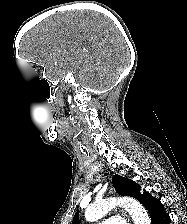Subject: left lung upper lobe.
<instances>
[{"label": "left lung upper lobe", "instance_id": "left-lung-upper-lobe-1", "mask_svg": "<svg viewBox=\"0 0 187 224\" xmlns=\"http://www.w3.org/2000/svg\"><path fill=\"white\" fill-rule=\"evenodd\" d=\"M113 186L119 195L132 196L143 203L150 195L146 192L140 193V186L120 175L113 176ZM79 213L77 212L73 218L72 224H79Z\"/></svg>", "mask_w": 187, "mask_h": 224}]
</instances>
